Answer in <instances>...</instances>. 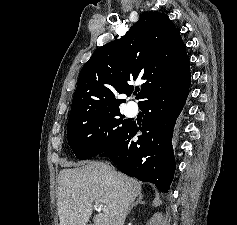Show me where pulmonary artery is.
Masks as SVG:
<instances>
[{
    "instance_id": "1",
    "label": "pulmonary artery",
    "mask_w": 237,
    "mask_h": 225,
    "mask_svg": "<svg viewBox=\"0 0 237 225\" xmlns=\"http://www.w3.org/2000/svg\"><path fill=\"white\" fill-rule=\"evenodd\" d=\"M137 111V105L134 102H129L127 105V113L133 115Z\"/></svg>"
}]
</instances>
